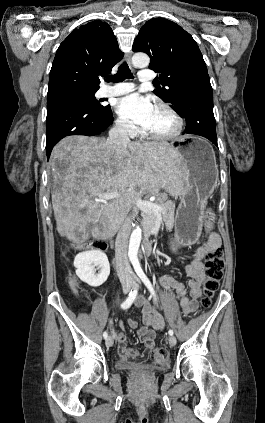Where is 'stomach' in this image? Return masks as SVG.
Masks as SVG:
<instances>
[{"label":"stomach","mask_w":265,"mask_h":423,"mask_svg":"<svg viewBox=\"0 0 265 423\" xmlns=\"http://www.w3.org/2000/svg\"><path fill=\"white\" fill-rule=\"evenodd\" d=\"M179 156L182 190L174 222V246L197 241L203 224L204 199L216 176L213 148L205 139L183 136L170 144Z\"/></svg>","instance_id":"obj_1"}]
</instances>
